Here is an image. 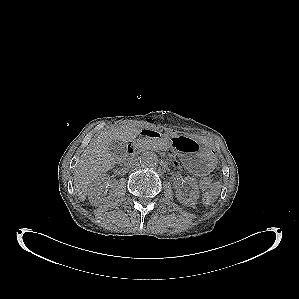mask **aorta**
Wrapping results in <instances>:
<instances>
[{"label":"aorta","instance_id":"obj_1","mask_svg":"<svg viewBox=\"0 0 299 299\" xmlns=\"http://www.w3.org/2000/svg\"><path fill=\"white\" fill-rule=\"evenodd\" d=\"M140 162L146 168H154L159 163V157L154 152H146L141 156Z\"/></svg>","mask_w":299,"mask_h":299}]
</instances>
